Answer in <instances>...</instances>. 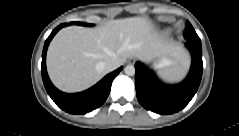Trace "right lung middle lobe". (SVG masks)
Segmentation results:
<instances>
[{
	"instance_id": "obj_1",
	"label": "right lung middle lobe",
	"mask_w": 239,
	"mask_h": 136,
	"mask_svg": "<svg viewBox=\"0 0 239 136\" xmlns=\"http://www.w3.org/2000/svg\"><path fill=\"white\" fill-rule=\"evenodd\" d=\"M71 24H77V25H82V26H89L90 25V24L82 23V22H71V23H66V26L71 25Z\"/></svg>"
}]
</instances>
